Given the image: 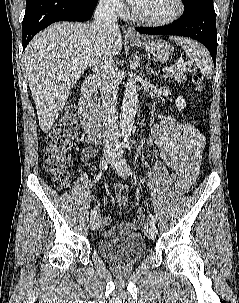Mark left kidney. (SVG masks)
Masks as SVG:
<instances>
[{
  "mask_svg": "<svg viewBox=\"0 0 239 303\" xmlns=\"http://www.w3.org/2000/svg\"><path fill=\"white\" fill-rule=\"evenodd\" d=\"M175 105L178 108V110L181 111L186 107V101L182 96H179L175 100Z\"/></svg>",
  "mask_w": 239,
  "mask_h": 303,
  "instance_id": "obj_1",
  "label": "left kidney"
}]
</instances>
